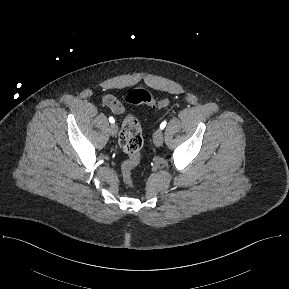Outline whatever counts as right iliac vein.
<instances>
[{
    "instance_id": "obj_1",
    "label": "right iliac vein",
    "mask_w": 289,
    "mask_h": 289,
    "mask_svg": "<svg viewBox=\"0 0 289 289\" xmlns=\"http://www.w3.org/2000/svg\"><path fill=\"white\" fill-rule=\"evenodd\" d=\"M109 131H110V134L112 136H115L117 134V131H118L117 125H115V124L111 125Z\"/></svg>"
}]
</instances>
